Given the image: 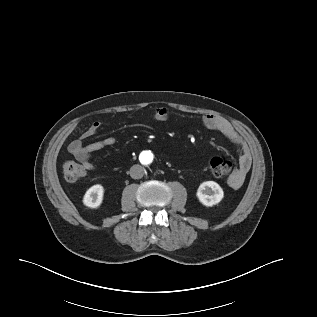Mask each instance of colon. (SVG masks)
<instances>
[{
  "label": "colon",
  "instance_id": "obj_1",
  "mask_svg": "<svg viewBox=\"0 0 317 317\" xmlns=\"http://www.w3.org/2000/svg\"><path fill=\"white\" fill-rule=\"evenodd\" d=\"M232 162L226 157H214L209 162L210 173L214 177H223L230 173ZM88 169L72 160L65 161L63 164V173L65 178L70 182H75L84 177Z\"/></svg>",
  "mask_w": 317,
  "mask_h": 317
}]
</instances>
